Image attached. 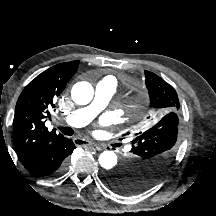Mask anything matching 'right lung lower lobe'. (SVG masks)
I'll list each match as a JSON object with an SVG mask.
<instances>
[{
  "label": "right lung lower lobe",
  "mask_w": 216,
  "mask_h": 216,
  "mask_svg": "<svg viewBox=\"0 0 216 216\" xmlns=\"http://www.w3.org/2000/svg\"><path fill=\"white\" fill-rule=\"evenodd\" d=\"M75 148L72 140L62 136L51 142L24 167L35 175L51 177L64 168L67 157Z\"/></svg>",
  "instance_id": "1"
}]
</instances>
